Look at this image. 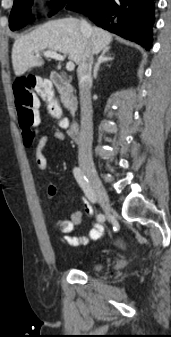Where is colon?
<instances>
[{
    "mask_svg": "<svg viewBox=\"0 0 171 337\" xmlns=\"http://www.w3.org/2000/svg\"><path fill=\"white\" fill-rule=\"evenodd\" d=\"M15 103L18 123L22 129L25 146L29 147L36 138V133L42 132L39 122L38 103L35 95H40V102L47 103L41 106L44 119H55L59 125L65 126V113L62 112L63 101L59 100L57 91H52L51 86L41 77L23 76L14 83Z\"/></svg>",
    "mask_w": 171,
    "mask_h": 337,
    "instance_id": "obj_1",
    "label": "colon"
}]
</instances>
